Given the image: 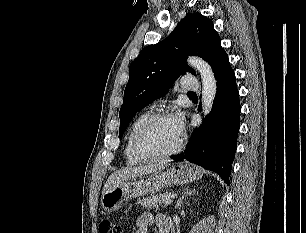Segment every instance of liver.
I'll return each instance as SVG.
<instances>
[{
    "label": "liver",
    "instance_id": "1",
    "mask_svg": "<svg viewBox=\"0 0 306 233\" xmlns=\"http://www.w3.org/2000/svg\"><path fill=\"white\" fill-rule=\"evenodd\" d=\"M169 160H161L159 162L145 165V166H138V167H130L126 169H122L119 171H116L112 173L108 180L106 181L104 188H103V193L113 184H116L120 181L124 180H130V179H135L137 177H141L147 174L159 172L163 169H165L168 166Z\"/></svg>",
    "mask_w": 306,
    "mask_h": 233
}]
</instances>
